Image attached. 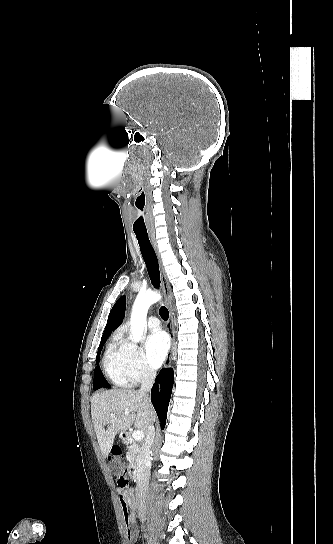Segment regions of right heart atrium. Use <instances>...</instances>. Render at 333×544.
<instances>
[{
    "label": "right heart atrium",
    "instance_id": "obj_1",
    "mask_svg": "<svg viewBox=\"0 0 333 544\" xmlns=\"http://www.w3.org/2000/svg\"><path fill=\"white\" fill-rule=\"evenodd\" d=\"M123 370L129 384H137L154 377V370L148 365L141 348L128 340L120 341Z\"/></svg>",
    "mask_w": 333,
    "mask_h": 544
}]
</instances>
